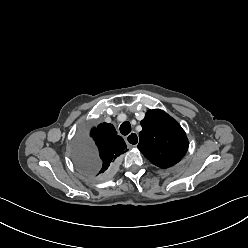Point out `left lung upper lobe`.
Listing matches in <instances>:
<instances>
[{"mask_svg": "<svg viewBox=\"0 0 248 248\" xmlns=\"http://www.w3.org/2000/svg\"><path fill=\"white\" fill-rule=\"evenodd\" d=\"M138 149L154 165L168 168L188 149L186 134L178 122L162 110H149L141 121Z\"/></svg>", "mask_w": 248, "mask_h": 248, "instance_id": "left-lung-upper-lobe-1", "label": "left lung upper lobe"}]
</instances>
